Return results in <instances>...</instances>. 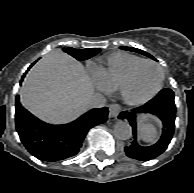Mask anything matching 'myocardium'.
I'll return each instance as SVG.
<instances>
[{
	"instance_id": "obj_1",
	"label": "myocardium",
	"mask_w": 194,
	"mask_h": 193,
	"mask_svg": "<svg viewBox=\"0 0 194 193\" xmlns=\"http://www.w3.org/2000/svg\"><path fill=\"white\" fill-rule=\"evenodd\" d=\"M144 64H151L159 70L160 79H159L158 85L154 89V91L151 94H149L148 96L140 98V99H131V98L126 96L125 89L128 86V84L130 83V81L132 80V78H133L134 74L136 73V71L138 70V68L140 66L144 65ZM164 80H165V71H164L163 67L158 62H156L154 60L143 59V60L137 62L136 64H134L127 71V73L121 79V81H120V83H119L116 90L118 92V95H119L120 99L125 104L130 105V106H138V105L145 104V103L149 102L150 100H152L153 98H155L159 94V92L162 90Z\"/></svg>"
}]
</instances>
